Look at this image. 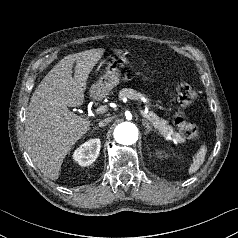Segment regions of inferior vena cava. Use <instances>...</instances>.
<instances>
[{
  "label": "inferior vena cava",
  "mask_w": 238,
  "mask_h": 238,
  "mask_svg": "<svg viewBox=\"0 0 238 238\" xmlns=\"http://www.w3.org/2000/svg\"><path fill=\"white\" fill-rule=\"evenodd\" d=\"M110 122H111V118L110 117L105 118L104 120L99 122V126H105V125H107Z\"/></svg>",
  "instance_id": "1"
}]
</instances>
